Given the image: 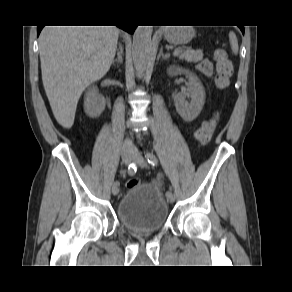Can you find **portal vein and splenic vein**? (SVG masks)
Listing matches in <instances>:
<instances>
[{"label": "portal vein and splenic vein", "mask_w": 292, "mask_h": 292, "mask_svg": "<svg viewBox=\"0 0 292 292\" xmlns=\"http://www.w3.org/2000/svg\"><path fill=\"white\" fill-rule=\"evenodd\" d=\"M173 54H174V55H177V54H178V51L175 50V51L173 52Z\"/></svg>", "instance_id": "obj_1"}]
</instances>
